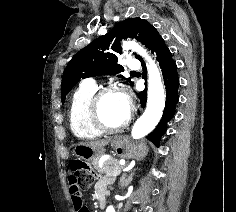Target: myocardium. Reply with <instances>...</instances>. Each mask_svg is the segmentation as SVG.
<instances>
[{
  "label": "myocardium",
  "instance_id": "obj_1",
  "mask_svg": "<svg viewBox=\"0 0 236 212\" xmlns=\"http://www.w3.org/2000/svg\"><path fill=\"white\" fill-rule=\"evenodd\" d=\"M110 93H120L125 96L123 90L116 85H108L96 90L89 104V117L92 125L102 133H118L126 129L132 120V109L129 107L125 120L116 127H110L105 124L101 116V101ZM126 97V96H125Z\"/></svg>",
  "mask_w": 236,
  "mask_h": 212
}]
</instances>
